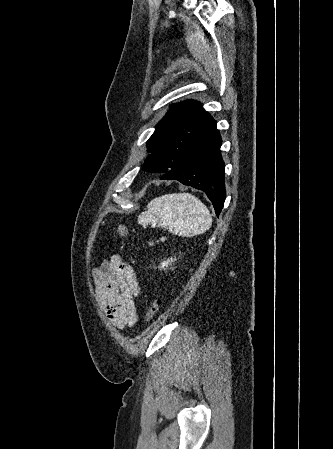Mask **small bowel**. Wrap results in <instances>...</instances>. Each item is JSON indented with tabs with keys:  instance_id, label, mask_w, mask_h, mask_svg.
Masks as SVG:
<instances>
[{
	"instance_id": "small-bowel-1",
	"label": "small bowel",
	"mask_w": 333,
	"mask_h": 449,
	"mask_svg": "<svg viewBox=\"0 0 333 449\" xmlns=\"http://www.w3.org/2000/svg\"><path fill=\"white\" fill-rule=\"evenodd\" d=\"M93 276L96 297L112 324L120 329L134 326L140 289L132 266L114 255L102 262Z\"/></svg>"
}]
</instances>
